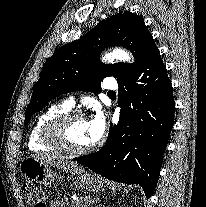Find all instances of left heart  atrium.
<instances>
[{
  "label": "left heart atrium",
  "mask_w": 206,
  "mask_h": 207,
  "mask_svg": "<svg viewBox=\"0 0 206 207\" xmlns=\"http://www.w3.org/2000/svg\"><path fill=\"white\" fill-rule=\"evenodd\" d=\"M90 141L92 144L98 142L104 135L106 130V120L104 114L98 110L88 121Z\"/></svg>",
  "instance_id": "left-heart-atrium-1"
}]
</instances>
